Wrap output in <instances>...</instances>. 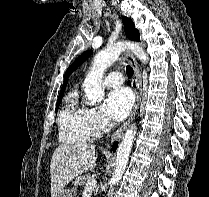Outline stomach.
I'll return each mask as SVG.
<instances>
[{
  "label": "stomach",
  "instance_id": "obj_1",
  "mask_svg": "<svg viewBox=\"0 0 209 197\" xmlns=\"http://www.w3.org/2000/svg\"><path fill=\"white\" fill-rule=\"evenodd\" d=\"M56 197H77L76 193L72 189H62Z\"/></svg>",
  "mask_w": 209,
  "mask_h": 197
}]
</instances>
